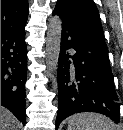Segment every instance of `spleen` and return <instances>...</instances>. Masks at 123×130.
Returning <instances> with one entry per match:
<instances>
[{
	"label": "spleen",
	"instance_id": "3e777b00",
	"mask_svg": "<svg viewBox=\"0 0 123 130\" xmlns=\"http://www.w3.org/2000/svg\"><path fill=\"white\" fill-rule=\"evenodd\" d=\"M68 130H115V124L102 114L79 113L68 118Z\"/></svg>",
	"mask_w": 123,
	"mask_h": 130
}]
</instances>
